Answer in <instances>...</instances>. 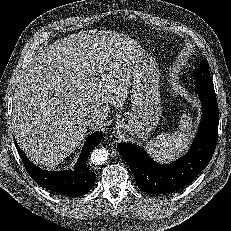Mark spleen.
<instances>
[{
  "mask_svg": "<svg viewBox=\"0 0 231 231\" xmlns=\"http://www.w3.org/2000/svg\"><path fill=\"white\" fill-rule=\"evenodd\" d=\"M179 126L180 130L172 134L162 133L147 142L146 151L156 161L170 162L188 148L192 138V118L183 114Z\"/></svg>",
  "mask_w": 231,
  "mask_h": 231,
  "instance_id": "obj_1",
  "label": "spleen"
}]
</instances>
